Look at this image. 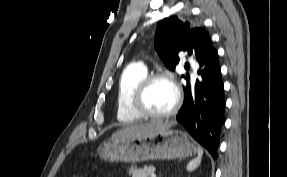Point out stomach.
I'll use <instances>...</instances> for the list:
<instances>
[{
  "instance_id": "0dacf381",
  "label": "stomach",
  "mask_w": 287,
  "mask_h": 177,
  "mask_svg": "<svg viewBox=\"0 0 287 177\" xmlns=\"http://www.w3.org/2000/svg\"><path fill=\"white\" fill-rule=\"evenodd\" d=\"M196 151L186 133L171 128L149 136L111 138L98 148L101 159L126 163L186 158Z\"/></svg>"
}]
</instances>
